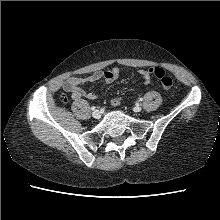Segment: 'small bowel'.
<instances>
[{
  "label": "small bowel",
  "mask_w": 220,
  "mask_h": 220,
  "mask_svg": "<svg viewBox=\"0 0 220 220\" xmlns=\"http://www.w3.org/2000/svg\"><path fill=\"white\" fill-rule=\"evenodd\" d=\"M140 75L142 76L144 82L148 84L150 82V76L147 74L145 69L140 70ZM119 76V69L112 68L104 71H95L88 76H71L67 78L63 84V89L71 93L72 97L75 99L85 97L89 100L96 99V94L91 91L85 90L82 86L86 83H93L99 80H105L106 82H113ZM119 104L121 100L117 99Z\"/></svg>",
  "instance_id": "c3829d8e"
}]
</instances>
